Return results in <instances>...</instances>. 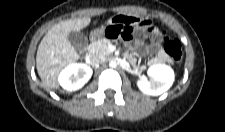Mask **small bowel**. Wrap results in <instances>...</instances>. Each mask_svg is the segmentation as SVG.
<instances>
[{"instance_id": "c3829d8e", "label": "small bowel", "mask_w": 225, "mask_h": 132, "mask_svg": "<svg viewBox=\"0 0 225 132\" xmlns=\"http://www.w3.org/2000/svg\"><path fill=\"white\" fill-rule=\"evenodd\" d=\"M115 25L130 26L138 29L136 32V42L134 44L128 45L127 47V57L134 67L140 68L138 61L135 58L136 53L142 55H151L150 64L152 65L171 61L164 48L159 47L162 34L152 25L149 20H143L132 16H121ZM141 30H146L152 35V42L149 45L142 43L141 39L143 37V33Z\"/></svg>"}]
</instances>
